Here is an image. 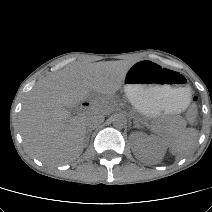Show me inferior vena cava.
I'll return each instance as SVG.
<instances>
[{
	"mask_svg": "<svg viewBox=\"0 0 212 212\" xmlns=\"http://www.w3.org/2000/svg\"><path fill=\"white\" fill-rule=\"evenodd\" d=\"M104 122V115L100 113H89L86 116V126L88 128H94Z\"/></svg>",
	"mask_w": 212,
	"mask_h": 212,
	"instance_id": "obj_1",
	"label": "inferior vena cava"
}]
</instances>
